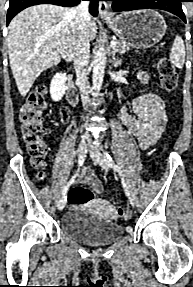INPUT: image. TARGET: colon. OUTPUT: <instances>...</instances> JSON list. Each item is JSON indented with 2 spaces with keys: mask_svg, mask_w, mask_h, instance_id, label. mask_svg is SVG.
<instances>
[{
  "mask_svg": "<svg viewBox=\"0 0 193 287\" xmlns=\"http://www.w3.org/2000/svg\"><path fill=\"white\" fill-rule=\"evenodd\" d=\"M158 74L161 88L168 93L174 92L178 83V75L176 68L169 58L162 57L159 60ZM46 92L45 83H40L29 94L19 112L20 132L31 155L33 166L40 169L39 177L41 179L45 176L43 168L45 165L46 145L41 139L43 132L41 119L43 112L47 108ZM67 114V111H62L64 121L68 119ZM68 200L71 205L78 206L92 201L93 193L89 189L75 186L69 191ZM114 216L119 219H125L127 211L124 207L118 206L115 209Z\"/></svg>",
  "mask_w": 193,
  "mask_h": 287,
  "instance_id": "colon-1",
  "label": "colon"
}]
</instances>
